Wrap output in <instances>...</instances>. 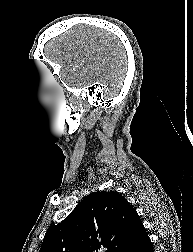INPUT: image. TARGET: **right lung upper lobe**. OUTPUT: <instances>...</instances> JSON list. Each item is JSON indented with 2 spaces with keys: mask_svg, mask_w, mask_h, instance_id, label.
I'll return each instance as SVG.
<instances>
[{
  "mask_svg": "<svg viewBox=\"0 0 193 252\" xmlns=\"http://www.w3.org/2000/svg\"><path fill=\"white\" fill-rule=\"evenodd\" d=\"M143 229L136 210L122 195L97 191L61 223L49 227L40 252H124Z\"/></svg>",
  "mask_w": 193,
  "mask_h": 252,
  "instance_id": "cb5924a9",
  "label": "right lung upper lobe"
}]
</instances>
